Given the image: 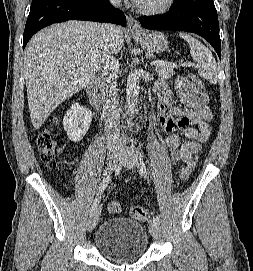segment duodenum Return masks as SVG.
<instances>
[{
	"label": "duodenum",
	"instance_id": "410a0bca",
	"mask_svg": "<svg viewBox=\"0 0 253 271\" xmlns=\"http://www.w3.org/2000/svg\"><path fill=\"white\" fill-rule=\"evenodd\" d=\"M88 97L90 100L91 105L97 109H101V100L98 96V81L92 80L88 86Z\"/></svg>",
	"mask_w": 253,
	"mask_h": 271
}]
</instances>
